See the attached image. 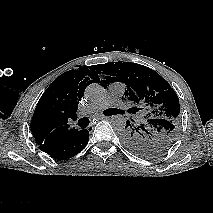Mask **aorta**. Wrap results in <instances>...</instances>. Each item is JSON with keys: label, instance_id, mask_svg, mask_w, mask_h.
I'll use <instances>...</instances> for the list:
<instances>
[{"label": "aorta", "instance_id": "762f6f07", "mask_svg": "<svg viewBox=\"0 0 213 213\" xmlns=\"http://www.w3.org/2000/svg\"><path fill=\"white\" fill-rule=\"evenodd\" d=\"M104 93L105 89L98 83H92L86 89V94L91 99L100 98ZM112 126L117 131L122 132L126 126V119L121 115H117L112 119Z\"/></svg>", "mask_w": 213, "mask_h": 213}]
</instances>
